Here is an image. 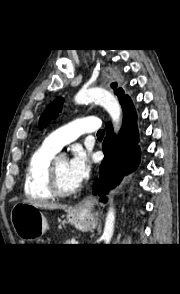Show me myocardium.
<instances>
[{
    "instance_id": "f54148a6",
    "label": "myocardium",
    "mask_w": 180,
    "mask_h": 294,
    "mask_svg": "<svg viewBox=\"0 0 180 294\" xmlns=\"http://www.w3.org/2000/svg\"><path fill=\"white\" fill-rule=\"evenodd\" d=\"M58 158H54L49 166L48 169V178H47V187L49 191L55 196V197H60V198H67L76 195L80 187L78 186L77 188L73 190H63L59 184L58 181V176H57V164Z\"/></svg>"
}]
</instances>
